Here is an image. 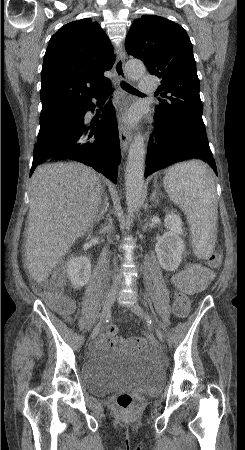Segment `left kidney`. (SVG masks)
Masks as SVG:
<instances>
[{
  "label": "left kidney",
  "instance_id": "5707ae66",
  "mask_svg": "<svg viewBox=\"0 0 245 450\" xmlns=\"http://www.w3.org/2000/svg\"><path fill=\"white\" fill-rule=\"evenodd\" d=\"M164 226L167 232L156 243L155 251L162 268L172 272L178 269L185 249L181 238L183 224L180 216L171 212L166 214Z\"/></svg>",
  "mask_w": 245,
  "mask_h": 450
}]
</instances>
